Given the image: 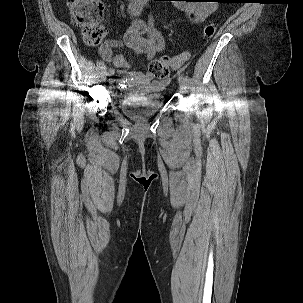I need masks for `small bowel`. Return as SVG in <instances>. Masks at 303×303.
<instances>
[{"label": "small bowel", "mask_w": 303, "mask_h": 303, "mask_svg": "<svg viewBox=\"0 0 303 303\" xmlns=\"http://www.w3.org/2000/svg\"><path fill=\"white\" fill-rule=\"evenodd\" d=\"M144 0H132L129 13L133 17L132 26L125 32L122 39L107 40L99 49L101 57L110 65L118 69L122 78V85L135 84L148 90L164 89L170 82L169 78H156L149 71L136 72L130 70V60L122 54H113L115 48L124 45L142 54L147 59H153L159 52L164 51L165 44L160 32L152 25L140 20L138 16L142 11ZM179 6L186 12L193 22L207 20L216 9V4L208 0H184Z\"/></svg>", "instance_id": "1"}]
</instances>
